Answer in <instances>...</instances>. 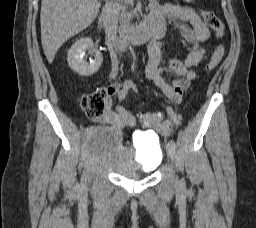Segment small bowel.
Returning a JSON list of instances; mask_svg holds the SVG:
<instances>
[{
  "label": "small bowel",
  "mask_w": 256,
  "mask_h": 228,
  "mask_svg": "<svg viewBox=\"0 0 256 228\" xmlns=\"http://www.w3.org/2000/svg\"><path fill=\"white\" fill-rule=\"evenodd\" d=\"M166 19L177 22L180 34L190 45V51L185 59L172 58L164 65L162 64V44L159 38L165 29ZM147 21L157 27L161 34L148 44L145 75L165 97L173 103L179 104L183 93L196 77L193 68L205 56L204 43L209 39L210 31L192 8L171 3L153 2ZM163 74H171L176 78L168 82ZM130 90L138 92V86L131 80H126L123 83L115 82L107 86L104 89L106 94L105 110L96 120L110 125L114 130L133 126L135 118L119 104H112L113 96H117L119 102L123 101ZM174 125V121H166L157 124L155 129L161 134H168Z\"/></svg>",
  "instance_id": "small-bowel-1"
}]
</instances>
